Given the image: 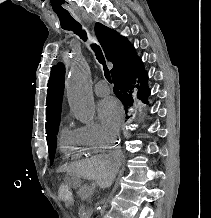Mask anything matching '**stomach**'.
<instances>
[{
  "instance_id": "0dacf381",
  "label": "stomach",
  "mask_w": 211,
  "mask_h": 218,
  "mask_svg": "<svg viewBox=\"0 0 211 218\" xmlns=\"http://www.w3.org/2000/svg\"><path fill=\"white\" fill-rule=\"evenodd\" d=\"M66 181L73 188H78L82 185L79 176L73 173L67 175Z\"/></svg>"
}]
</instances>
